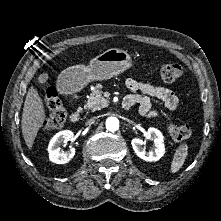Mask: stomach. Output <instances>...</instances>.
<instances>
[{"label":"stomach","instance_id":"1","mask_svg":"<svg viewBox=\"0 0 221 221\" xmlns=\"http://www.w3.org/2000/svg\"><path fill=\"white\" fill-rule=\"evenodd\" d=\"M130 54L119 48H111L92 59L88 66L75 65L65 69L59 83L67 92H78L91 81L107 80L132 67Z\"/></svg>","mask_w":221,"mask_h":221}]
</instances>
